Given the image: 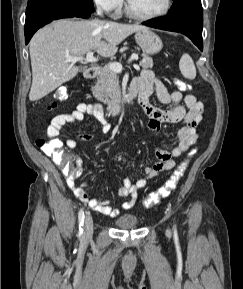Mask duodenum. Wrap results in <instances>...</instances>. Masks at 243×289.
Listing matches in <instances>:
<instances>
[{"label":"duodenum","instance_id":"duodenum-1","mask_svg":"<svg viewBox=\"0 0 243 289\" xmlns=\"http://www.w3.org/2000/svg\"><path fill=\"white\" fill-rule=\"evenodd\" d=\"M99 67L98 66H91L86 69L84 76L87 79H93L95 78L99 73ZM139 98V92L136 89L131 88L130 93L127 95V97L123 100H113L108 103V112L112 115H117L123 111H125L135 99L138 100Z\"/></svg>","mask_w":243,"mask_h":289}]
</instances>
